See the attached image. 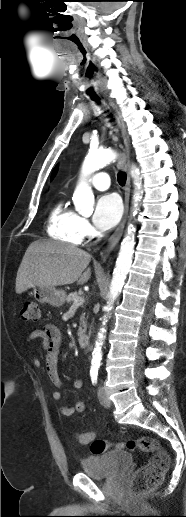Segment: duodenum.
Returning a JSON list of instances; mask_svg holds the SVG:
<instances>
[{
    "instance_id": "410a0bca",
    "label": "duodenum",
    "mask_w": 186,
    "mask_h": 517,
    "mask_svg": "<svg viewBox=\"0 0 186 517\" xmlns=\"http://www.w3.org/2000/svg\"><path fill=\"white\" fill-rule=\"evenodd\" d=\"M77 342L80 348L86 349L89 346V337L84 333H79L77 336Z\"/></svg>"
}]
</instances>
